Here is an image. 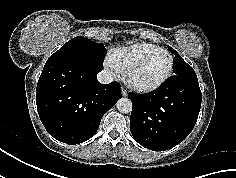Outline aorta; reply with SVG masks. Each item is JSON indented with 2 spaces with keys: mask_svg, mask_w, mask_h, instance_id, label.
<instances>
[{
  "mask_svg": "<svg viewBox=\"0 0 236 178\" xmlns=\"http://www.w3.org/2000/svg\"><path fill=\"white\" fill-rule=\"evenodd\" d=\"M116 105L121 113H130L132 111V102L129 98L119 99Z\"/></svg>",
  "mask_w": 236,
  "mask_h": 178,
  "instance_id": "762f6f07",
  "label": "aorta"
}]
</instances>
